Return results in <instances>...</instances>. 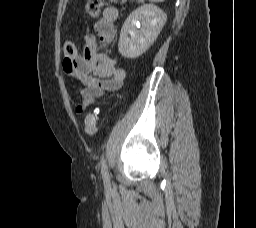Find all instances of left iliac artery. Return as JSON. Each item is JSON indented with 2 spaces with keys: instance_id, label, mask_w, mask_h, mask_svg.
I'll return each instance as SVG.
<instances>
[{
  "instance_id": "obj_1",
  "label": "left iliac artery",
  "mask_w": 256,
  "mask_h": 228,
  "mask_svg": "<svg viewBox=\"0 0 256 228\" xmlns=\"http://www.w3.org/2000/svg\"><path fill=\"white\" fill-rule=\"evenodd\" d=\"M101 173H102L104 184L107 187H109L110 186V177H109L106 160L104 158L101 160Z\"/></svg>"
}]
</instances>
